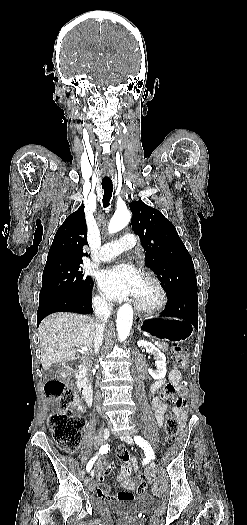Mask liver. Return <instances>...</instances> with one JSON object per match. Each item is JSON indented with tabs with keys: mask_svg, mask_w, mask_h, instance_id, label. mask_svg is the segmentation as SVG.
<instances>
[{
	"mask_svg": "<svg viewBox=\"0 0 247 525\" xmlns=\"http://www.w3.org/2000/svg\"><path fill=\"white\" fill-rule=\"evenodd\" d=\"M95 325V319L77 313H52L45 317L38 329L44 371L54 363L75 361L77 347H86L81 355L83 359L89 357L93 353Z\"/></svg>",
	"mask_w": 247,
	"mask_h": 525,
	"instance_id": "obj_1",
	"label": "liver"
}]
</instances>
